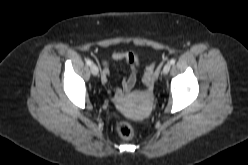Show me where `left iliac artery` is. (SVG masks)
<instances>
[{"instance_id": "obj_1", "label": "left iliac artery", "mask_w": 248, "mask_h": 165, "mask_svg": "<svg viewBox=\"0 0 248 165\" xmlns=\"http://www.w3.org/2000/svg\"><path fill=\"white\" fill-rule=\"evenodd\" d=\"M170 64H171V65H174V64H175V59H171V60H170Z\"/></svg>"}]
</instances>
